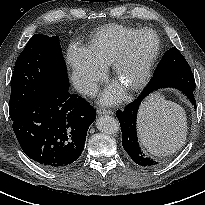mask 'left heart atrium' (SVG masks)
<instances>
[{
	"mask_svg": "<svg viewBox=\"0 0 205 205\" xmlns=\"http://www.w3.org/2000/svg\"><path fill=\"white\" fill-rule=\"evenodd\" d=\"M120 96V91L117 88L108 89L102 97V101L106 104L115 102Z\"/></svg>",
	"mask_w": 205,
	"mask_h": 205,
	"instance_id": "left-heart-atrium-1",
	"label": "left heart atrium"
}]
</instances>
